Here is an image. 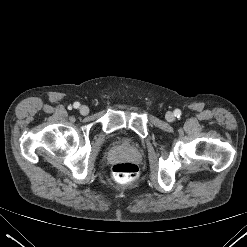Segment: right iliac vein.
Segmentation results:
<instances>
[{
    "mask_svg": "<svg viewBox=\"0 0 247 247\" xmlns=\"http://www.w3.org/2000/svg\"><path fill=\"white\" fill-rule=\"evenodd\" d=\"M79 111L82 115H87L89 113V108L87 106H81Z\"/></svg>",
    "mask_w": 247,
    "mask_h": 247,
    "instance_id": "right-iliac-vein-1",
    "label": "right iliac vein"
}]
</instances>
